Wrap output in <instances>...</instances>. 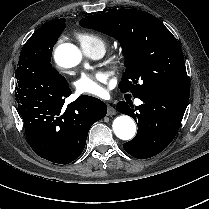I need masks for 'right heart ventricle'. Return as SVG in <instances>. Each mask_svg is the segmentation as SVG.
Returning a JSON list of instances; mask_svg holds the SVG:
<instances>
[{
    "label": "right heart ventricle",
    "instance_id": "1",
    "mask_svg": "<svg viewBox=\"0 0 209 209\" xmlns=\"http://www.w3.org/2000/svg\"><path fill=\"white\" fill-rule=\"evenodd\" d=\"M77 38L81 44V47L86 53L90 51L105 47L104 40L97 34L92 32H82L77 35Z\"/></svg>",
    "mask_w": 209,
    "mask_h": 209
}]
</instances>
